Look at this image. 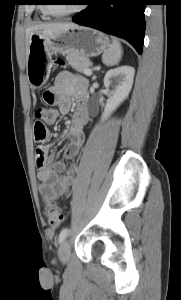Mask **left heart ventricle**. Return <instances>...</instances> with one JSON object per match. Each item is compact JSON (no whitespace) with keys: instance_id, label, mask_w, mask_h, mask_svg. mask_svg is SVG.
I'll return each mask as SVG.
<instances>
[{"instance_id":"1","label":"left heart ventricle","mask_w":181,"mask_h":300,"mask_svg":"<svg viewBox=\"0 0 181 300\" xmlns=\"http://www.w3.org/2000/svg\"><path fill=\"white\" fill-rule=\"evenodd\" d=\"M55 2L59 3L58 5H53L54 10L57 12H67L74 8L73 5L69 4L72 1L55 0Z\"/></svg>"}]
</instances>
